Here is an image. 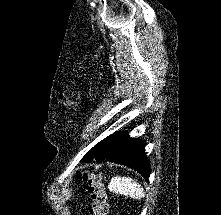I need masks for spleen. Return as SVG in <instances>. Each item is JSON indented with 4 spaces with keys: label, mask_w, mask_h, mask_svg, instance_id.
Segmentation results:
<instances>
[{
    "label": "spleen",
    "mask_w": 221,
    "mask_h": 215,
    "mask_svg": "<svg viewBox=\"0 0 221 215\" xmlns=\"http://www.w3.org/2000/svg\"><path fill=\"white\" fill-rule=\"evenodd\" d=\"M109 190L135 199H141L145 195L141 185L129 177L112 178L109 183Z\"/></svg>",
    "instance_id": "obj_1"
}]
</instances>
